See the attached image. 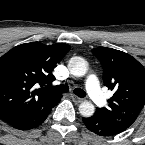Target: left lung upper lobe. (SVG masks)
Listing matches in <instances>:
<instances>
[{
  "label": "left lung upper lobe",
  "instance_id": "1",
  "mask_svg": "<svg viewBox=\"0 0 145 145\" xmlns=\"http://www.w3.org/2000/svg\"><path fill=\"white\" fill-rule=\"evenodd\" d=\"M103 67L104 85L114 91L108 108H97L103 119L125 131L145 104V68L122 51L98 47L93 50Z\"/></svg>",
  "mask_w": 145,
  "mask_h": 145
}]
</instances>
